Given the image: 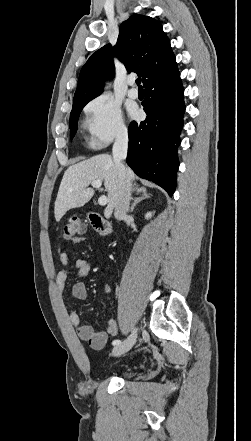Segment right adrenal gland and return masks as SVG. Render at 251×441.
<instances>
[{
	"mask_svg": "<svg viewBox=\"0 0 251 441\" xmlns=\"http://www.w3.org/2000/svg\"><path fill=\"white\" fill-rule=\"evenodd\" d=\"M137 194L140 195V196H139V197H136V198L134 199V202H133V204H132V206H131V208H130V212H131V213L133 212L135 206H136L138 203H140L142 200H145V199L150 198V195L146 193V190H145V189L139 190V191L137 192Z\"/></svg>",
	"mask_w": 251,
	"mask_h": 441,
	"instance_id": "1",
	"label": "right adrenal gland"
}]
</instances>
